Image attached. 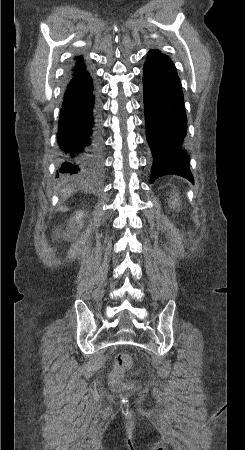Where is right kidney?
<instances>
[{"instance_id":"right-kidney-1","label":"right kidney","mask_w":245,"mask_h":450,"mask_svg":"<svg viewBox=\"0 0 245 450\" xmlns=\"http://www.w3.org/2000/svg\"><path fill=\"white\" fill-rule=\"evenodd\" d=\"M82 217H83V212L79 211L76 213V215L73 218L76 220L77 223H79L80 227L82 226V222L80 221Z\"/></svg>"}]
</instances>
